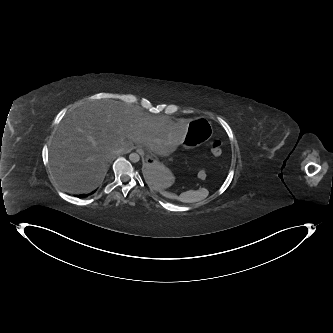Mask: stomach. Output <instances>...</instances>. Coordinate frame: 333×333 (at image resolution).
<instances>
[{
    "mask_svg": "<svg viewBox=\"0 0 333 333\" xmlns=\"http://www.w3.org/2000/svg\"><path fill=\"white\" fill-rule=\"evenodd\" d=\"M212 135L211 123L207 119L200 118L191 123L189 132L181 143L185 148H194L204 141H208ZM143 172L146 184L159 193H164L175 187L178 182L175 170L156 160L147 162Z\"/></svg>",
    "mask_w": 333,
    "mask_h": 333,
    "instance_id": "obj_1",
    "label": "stomach"
}]
</instances>
